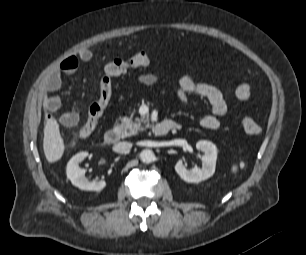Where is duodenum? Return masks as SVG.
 <instances>
[{
	"mask_svg": "<svg viewBox=\"0 0 306 255\" xmlns=\"http://www.w3.org/2000/svg\"><path fill=\"white\" fill-rule=\"evenodd\" d=\"M180 125L172 120H165L153 127V134L155 136H164L171 130L179 129ZM120 138V134L115 129H109L104 134V143L107 145L115 144Z\"/></svg>",
	"mask_w": 306,
	"mask_h": 255,
	"instance_id": "duodenum-1",
	"label": "duodenum"
}]
</instances>
